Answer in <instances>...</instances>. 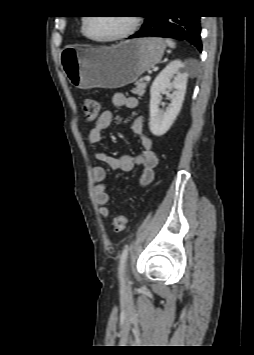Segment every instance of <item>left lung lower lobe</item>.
<instances>
[{
	"instance_id": "1",
	"label": "left lung lower lobe",
	"mask_w": 254,
	"mask_h": 355,
	"mask_svg": "<svg viewBox=\"0 0 254 355\" xmlns=\"http://www.w3.org/2000/svg\"><path fill=\"white\" fill-rule=\"evenodd\" d=\"M141 30L129 38L156 36L165 38H183L191 42L199 51L202 50L200 16H164L146 15Z\"/></svg>"
}]
</instances>
